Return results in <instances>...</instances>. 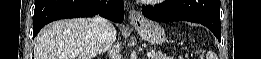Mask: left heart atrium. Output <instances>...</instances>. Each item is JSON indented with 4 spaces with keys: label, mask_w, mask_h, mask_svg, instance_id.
I'll list each match as a JSON object with an SVG mask.
<instances>
[{
    "label": "left heart atrium",
    "mask_w": 261,
    "mask_h": 59,
    "mask_svg": "<svg viewBox=\"0 0 261 59\" xmlns=\"http://www.w3.org/2000/svg\"><path fill=\"white\" fill-rule=\"evenodd\" d=\"M141 2H144V3H154V2H156V0H141Z\"/></svg>",
    "instance_id": "39dd6f15"
}]
</instances>
